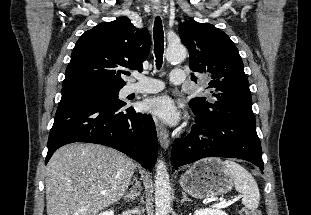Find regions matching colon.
Here are the masks:
<instances>
[{
	"instance_id": "colon-1",
	"label": "colon",
	"mask_w": 311,
	"mask_h": 215,
	"mask_svg": "<svg viewBox=\"0 0 311 215\" xmlns=\"http://www.w3.org/2000/svg\"><path fill=\"white\" fill-rule=\"evenodd\" d=\"M239 215H262V213L258 210L242 209Z\"/></svg>"
}]
</instances>
